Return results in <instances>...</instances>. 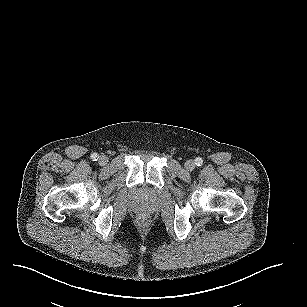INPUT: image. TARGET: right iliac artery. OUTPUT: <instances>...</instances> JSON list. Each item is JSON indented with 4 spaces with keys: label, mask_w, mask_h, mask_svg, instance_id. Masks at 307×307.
I'll list each match as a JSON object with an SVG mask.
<instances>
[{
    "label": "right iliac artery",
    "mask_w": 307,
    "mask_h": 307,
    "mask_svg": "<svg viewBox=\"0 0 307 307\" xmlns=\"http://www.w3.org/2000/svg\"><path fill=\"white\" fill-rule=\"evenodd\" d=\"M98 158H99V156L97 155V153H93V154L91 155V159H92L93 161H97Z\"/></svg>",
    "instance_id": "obj_1"
}]
</instances>
